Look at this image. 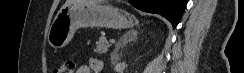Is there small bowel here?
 <instances>
[{
  "label": "small bowel",
  "instance_id": "small-bowel-1",
  "mask_svg": "<svg viewBox=\"0 0 244 73\" xmlns=\"http://www.w3.org/2000/svg\"><path fill=\"white\" fill-rule=\"evenodd\" d=\"M103 62L97 58H91L88 64L81 65L76 73H102Z\"/></svg>",
  "mask_w": 244,
  "mask_h": 73
}]
</instances>
